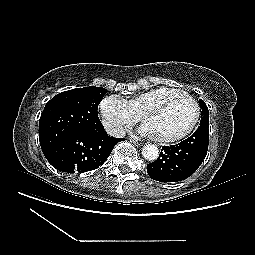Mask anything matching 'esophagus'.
<instances>
[{
	"instance_id": "esophagus-1",
	"label": "esophagus",
	"mask_w": 255,
	"mask_h": 255,
	"mask_svg": "<svg viewBox=\"0 0 255 255\" xmlns=\"http://www.w3.org/2000/svg\"><path fill=\"white\" fill-rule=\"evenodd\" d=\"M131 142H133L136 146H142V142H140V141H138V140H136V139H134V138H130L129 139Z\"/></svg>"
}]
</instances>
